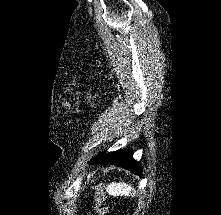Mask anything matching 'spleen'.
Instances as JSON below:
<instances>
[{
	"label": "spleen",
	"instance_id": "1",
	"mask_svg": "<svg viewBox=\"0 0 221 215\" xmlns=\"http://www.w3.org/2000/svg\"><path fill=\"white\" fill-rule=\"evenodd\" d=\"M132 187L126 183H111L107 187V192L112 196H129Z\"/></svg>",
	"mask_w": 221,
	"mask_h": 215
}]
</instances>
